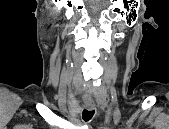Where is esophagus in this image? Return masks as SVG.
<instances>
[{
	"instance_id": "obj_1",
	"label": "esophagus",
	"mask_w": 169,
	"mask_h": 129,
	"mask_svg": "<svg viewBox=\"0 0 169 129\" xmlns=\"http://www.w3.org/2000/svg\"><path fill=\"white\" fill-rule=\"evenodd\" d=\"M86 108H87L88 110H94V109H95V106H94L93 104H87V105H86Z\"/></svg>"
}]
</instances>
